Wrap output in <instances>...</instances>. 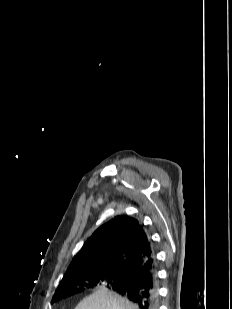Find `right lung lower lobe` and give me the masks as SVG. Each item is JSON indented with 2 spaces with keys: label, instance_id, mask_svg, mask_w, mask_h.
Returning a JSON list of instances; mask_svg holds the SVG:
<instances>
[{
  "label": "right lung lower lobe",
  "instance_id": "obj_1",
  "mask_svg": "<svg viewBox=\"0 0 232 309\" xmlns=\"http://www.w3.org/2000/svg\"><path fill=\"white\" fill-rule=\"evenodd\" d=\"M127 282L112 289L137 304L139 309H158L157 267L155 255L148 258L139 268L127 272Z\"/></svg>",
  "mask_w": 232,
  "mask_h": 309
}]
</instances>
